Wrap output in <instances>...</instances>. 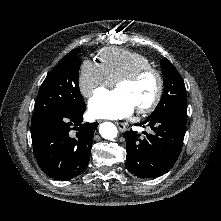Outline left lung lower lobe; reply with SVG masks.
Wrapping results in <instances>:
<instances>
[{
	"instance_id": "1",
	"label": "left lung lower lobe",
	"mask_w": 221,
	"mask_h": 221,
	"mask_svg": "<svg viewBox=\"0 0 221 221\" xmlns=\"http://www.w3.org/2000/svg\"><path fill=\"white\" fill-rule=\"evenodd\" d=\"M187 107L176 108L163 115L147 118L138 126H149L150 134L126 131V168L141 178L157 177L166 173L176 162L186 131Z\"/></svg>"
}]
</instances>
